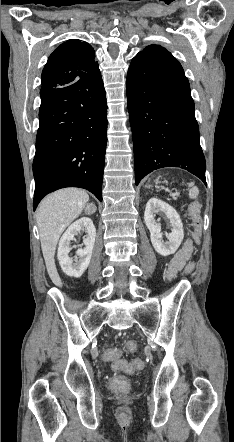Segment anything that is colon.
Returning <instances> with one entry per match:
<instances>
[{"instance_id": "5ec220e1", "label": "colon", "mask_w": 234, "mask_h": 442, "mask_svg": "<svg viewBox=\"0 0 234 442\" xmlns=\"http://www.w3.org/2000/svg\"><path fill=\"white\" fill-rule=\"evenodd\" d=\"M201 207L202 205L199 201L192 202L188 207V216L190 218L191 225L194 228L196 241L199 239L202 226L200 217ZM184 266L185 273L189 274L192 272L195 263L193 261H186ZM136 348L137 346L134 342L126 343V345H124L122 348L120 346L118 348L116 346L104 347L101 350L102 358L105 361L112 362V369L115 372H125L131 374L143 368V359L141 357L134 356L131 358V361H127L122 359V354L124 352H134ZM109 387L110 389L118 390L130 389L131 382L128 377L119 376L115 377L114 380H110Z\"/></svg>"}]
</instances>
